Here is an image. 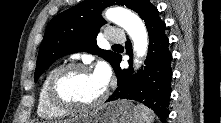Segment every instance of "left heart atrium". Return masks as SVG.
<instances>
[{"mask_svg":"<svg viewBox=\"0 0 221 123\" xmlns=\"http://www.w3.org/2000/svg\"><path fill=\"white\" fill-rule=\"evenodd\" d=\"M94 73L100 79L102 84L106 86L109 80V75H110L107 66H105L104 64H99L96 70L94 71Z\"/></svg>","mask_w":221,"mask_h":123,"instance_id":"obj_1","label":"left heart atrium"}]
</instances>
